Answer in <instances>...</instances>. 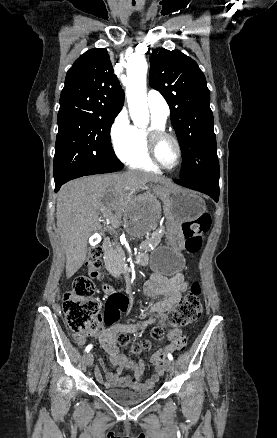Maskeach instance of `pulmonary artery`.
<instances>
[{
  "instance_id": "obj_1",
  "label": "pulmonary artery",
  "mask_w": 277,
  "mask_h": 438,
  "mask_svg": "<svg viewBox=\"0 0 277 438\" xmlns=\"http://www.w3.org/2000/svg\"><path fill=\"white\" fill-rule=\"evenodd\" d=\"M154 93L156 95L146 96L144 104L153 118L166 121L170 115V108L168 103L163 99V96L161 95L163 93V90L160 87H157L154 90Z\"/></svg>"
}]
</instances>
